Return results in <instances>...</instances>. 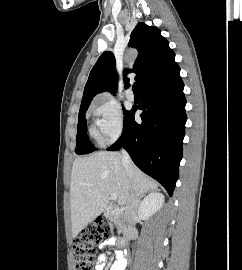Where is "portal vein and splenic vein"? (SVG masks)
Masks as SVG:
<instances>
[{"instance_id": "obj_1", "label": "portal vein and splenic vein", "mask_w": 242, "mask_h": 270, "mask_svg": "<svg viewBox=\"0 0 242 270\" xmlns=\"http://www.w3.org/2000/svg\"><path fill=\"white\" fill-rule=\"evenodd\" d=\"M117 194H115V193H111L110 194V198L112 199V200H117Z\"/></svg>"}]
</instances>
